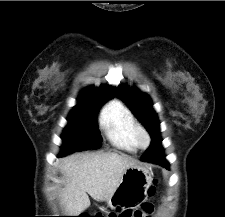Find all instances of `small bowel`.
Instances as JSON below:
<instances>
[{"instance_id":"c3829d8e","label":"small bowel","mask_w":225,"mask_h":217,"mask_svg":"<svg viewBox=\"0 0 225 217\" xmlns=\"http://www.w3.org/2000/svg\"><path fill=\"white\" fill-rule=\"evenodd\" d=\"M146 195L138 190L132 189L124 192L116 207V213L112 217H146L153 212V207L145 201ZM139 207L140 209L134 210Z\"/></svg>"}]
</instances>
